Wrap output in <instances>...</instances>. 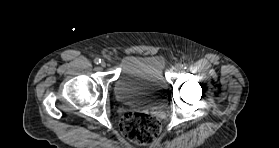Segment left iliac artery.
<instances>
[{
	"label": "left iliac artery",
	"instance_id": "1",
	"mask_svg": "<svg viewBox=\"0 0 279 148\" xmlns=\"http://www.w3.org/2000/svg\"><path fill=\"white\" fill-rule=\"evenodd\" d=\"M187 67H188V65H187V64H185V63H184V64H182V68H183V69H187Z\"/></svg>",
	"mask_w": 279,
	"mask_h": 148
}]
</instances>
